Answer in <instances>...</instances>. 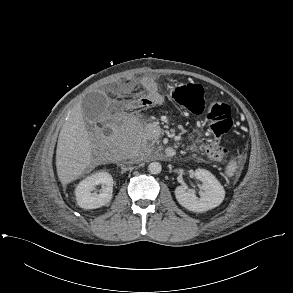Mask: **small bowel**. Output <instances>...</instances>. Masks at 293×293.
Instances as JSON below:
<instances>
[{
    "instance_id": "1",
    "label": "small bowel",
    "mask_w": 293,
    "mask_h": 293,
    "mask_svg": "<svg viewBox=\"0 0 293 293\" xmlns=\"http://www.w3.org/2000/svg\"><path fill=\"white\" fill-rule=\"evenodd\" d=\"M127 90L143 89L153 98L156 105L164 102V97L159 92L158 83L152 75H143L139 78H133L126 82Z\"/></svg>"
}]
</instances>
